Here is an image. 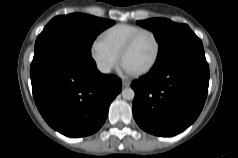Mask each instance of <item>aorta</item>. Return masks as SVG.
I'll return each instance as SVG.
<instances>
[{"label":"aorta","instance_id":"aorta-1","mask_svg":"<svg viewBox=\"0 0 238 158\" xmlns=\"http://www.w3.org/2000/svg\"><path fill=\"white\" fill-rule=\"evenodd\" d=\"M134 96H135V93L132 88H125L122 90V97L125 100H133Z\"/></svg>","mask_w":238,"mask_h":158}]
</instances>
